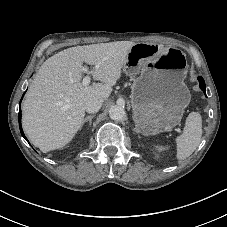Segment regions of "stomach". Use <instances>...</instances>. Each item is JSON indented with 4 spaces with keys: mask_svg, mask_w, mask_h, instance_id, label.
Instances as JSON below:
<instances>
[{
    "mask_svg": "<svg viewBox=\"0 0 227 227\" xmlns=\"http://www.w3.org/2000/svg\"><path fill=\"white\" fill-rule=\"evenodd\" d=\"M188 64L182 51L154 43H136L123 71L139 75L133 82V118L144 135H156L177 126L191 95L184 83Z\"/></svg>",
    "mask_w": 227,
    "mask_h": 227,
    "instance_id": "0dacf381",
    "label": "stomach"
}]
</instances>
